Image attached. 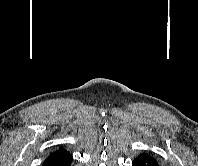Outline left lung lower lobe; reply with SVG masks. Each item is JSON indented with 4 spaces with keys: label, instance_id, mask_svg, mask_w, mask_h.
<instances>
[{
    "label": "left lung lower lobe",
    "instance_id": "0a47b994",
    "mask_svg": "<svg viewBox=\"0 0 198 166\" xmlns=\"http://www.w3.org/2000/svg\"><path fill=\"white\" fill-rule=\"evenodd\" d=\"M133 166H159L157 161L148 154H140L132 161Z\"/></svg>",
    "mask_w": 198,
    "mask_h": 166
}]
</instances>
